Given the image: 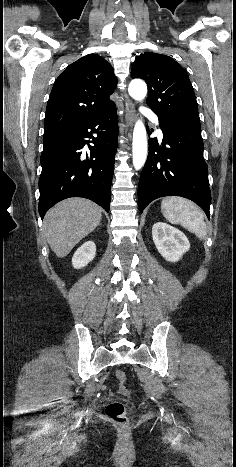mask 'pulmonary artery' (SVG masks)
<instances>
[{
    "mask_svg": "<svg viewBox=\"0 0 236 467\" xmlns=\"http://www.w3.org/2000/svg\"><path fill=\"white\" fill-rule=\"evenodd\" d=\"M142 113L144 116L150 118L156 125H159L157 115L153 113L151 110H149L148 108H143Z\"/></svg>",
    "mask_w": 236,
    "mask_h": 467,
    "instance_id": "1",
    "label": "pulmonary artery"
}]
</instances>
